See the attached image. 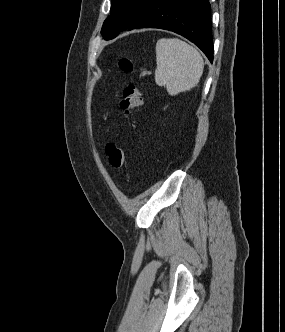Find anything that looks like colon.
<instances>
[{
	"label": "colon",
	"mask_w": 285,
	"mask_h": 332,
	"mask_svg": "<svg viewBox=\"0 0 285 332\" xmlns=\"http://www.w3.org/2000/svg\"><path fill=\"white\" fill-rule=\"evenodd\" d=\"M119 67L123 72L134 73L135 67L131 59L123 57L119 61ZM143 102L142 92L137 81H131L123 90L120 100V108L125 116L135 114ZM105 154L111 169L119 170L126 163L124 152L114 144H107Z\"/></svg>",
	"instance_id": "colon-1"
}]
</instances>
